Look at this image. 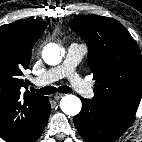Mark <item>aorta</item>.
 <instances>
[{"label":"aorta","instance_id":"762f6f07","mask_svg":"<svg viewBox=\"0 0 142 142\" xmlns=\"http://www.w3.org/2000/svg\"><path fill=\"white\" fill-rule=\"evenodd\" d=\"M42 57L48 65H57L63 58V51L59 45L50 43L44 47ZM60 108L65 114L75 116L81 111L82 103L77 96L66 95L60 101Z\"/></svg>","mask_w":142,"mask_h":142}]
</instances>
